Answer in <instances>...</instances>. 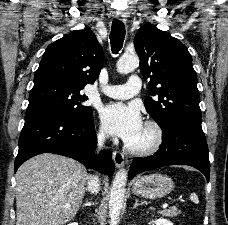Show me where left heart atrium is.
<instances>
[{
  "instance_id": "1",
  "label": "left heart atrium",
  "mask_w": 228,
  "mask_h": 225,
  "mask_svg": "<svg viewBox=\"0 0 228 225\" xmlns=\"http://www.w3.org/2000/svg\"><path fill=\"white\" fill-rule=\"evenodd\" d=\"M101 120L106 131L126 142H134L142 133L144 126L137 108L123 103H112L101 111Z\"/></svg>"
}]
</instances>
